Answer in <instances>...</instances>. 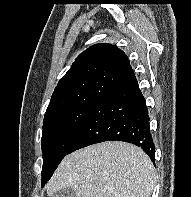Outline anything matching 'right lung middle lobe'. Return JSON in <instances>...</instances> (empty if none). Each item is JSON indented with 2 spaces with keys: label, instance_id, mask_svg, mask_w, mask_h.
Segmentation results:
<instances>
[{
  "label": "right lung middle lobe",
  "instance_id": "1",
  "mask_svg": "<svg viewBox=\"0 0 191 197\" xmlns=\"http://www.w3.org/2000/svg\"><path fill=\"white\" fill-rule=\"evenodd\" d=\"M95 104L81 105L54 113L43 121L42 131V186L72 146L84 121Z\"/></svg>",
  "mask_w": 191,
  "mask_h": 197
}]
</instances>
